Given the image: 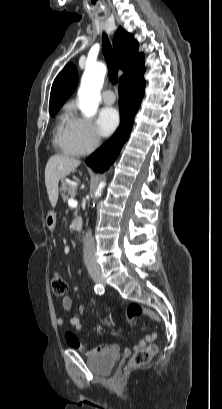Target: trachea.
I'll use <instances>...</instances> for the list:
<instances>
[{
    "mask_svg": "<svg viewBox=\"0 0 222 409\" xmlns=\"http://www.w3.org/2000/svg\"><path fill=\"white\" fill-rule=\"evenodd\" d=\"M102 53L108 66L109 79L113 84L118 81V64L107 35L102 36Z\"/></svg>",
    "mask_w": 222,
    "mask_h": 409,
    "instance_id": "1",
    "label": "trachea"
}]
</instances>
